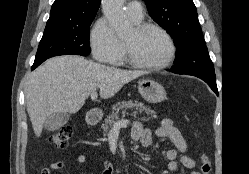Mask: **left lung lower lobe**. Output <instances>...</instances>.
<instances>
[{
	"instance_id": "obj_1",
	"label": "left lung lower lobe",
	"mask_w": 249,
	"mask_h": 174,
	"mask_svg": "<svg viewBox=\"0 0 249 174\" xmlns=\"http://www.w3.org/2000/svg\"><path fill=\"white\" fill-rule=\"evenodd\" d=\"M169 71L173 72V73L181 74V73H178L177 71H175L174 69H170ZM187 75L196 76V77L202 79L218 95L215 74L197 72V73H188Z\"/></svg>"
}]
</instances>
